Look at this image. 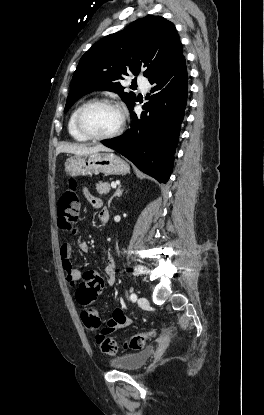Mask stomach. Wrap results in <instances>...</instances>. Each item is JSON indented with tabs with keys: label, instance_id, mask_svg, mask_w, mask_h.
<instances>
[{
	"label": "stomach",
	"instance_id": "1",
	"mask_svg": "<svg viewBox=\"0 0 264 415\" xmlns=\"http://www.w3.org/2000/svg\"><path fill=\"white\" fill-rule=\"evenodd\" d=\"M65 171L70 176L99 173L108 176L125 175L130 171V168L120 157L111 152H106L74 155L66 160Z\"/></svg>",
	"mask_w": 264,
	"mask_h": 415
}]
</instances>
